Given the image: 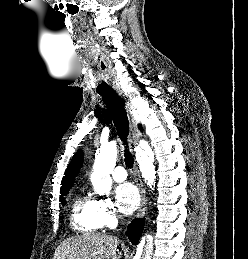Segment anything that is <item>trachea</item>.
Wrapping results in <instances>:
<instances>
[{
    "label": "trachea",
    "instance_id": "3493384b",
    "mask_svg": "<svg viewBox=\"0 0 248 259\" xmlns=\"http://www.w3.org/2000/svg\"><path fill=\"white\" fill-rule=\"evenodd\" d=\"M114 121L117 133L125 146L124 157L128 168H133V156L128 150L127 137L129 134V121L121 98L115 91L100 93Z\"/></svg>",
    "mask_w": 248,
    "mask_h": 259
}]
</instances>
